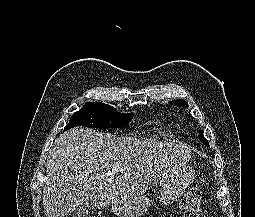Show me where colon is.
Wrapping results in <instances>:
<instances>
[{"label":"colon","instance_id":"obj_1","mask_svg":"<svg viewBox=\"0 0 255 217\" xmlns=\"http://www.w3.org/2000/svg\"><path fill=\"white\" fill-rule=\"evenodd\" d=\"M182 217H204L202 211V193L198 188L189 189L181 199Z\"/></svg>","mask_w":255,"mask_h":217}]
</instances>
